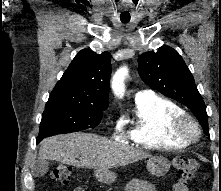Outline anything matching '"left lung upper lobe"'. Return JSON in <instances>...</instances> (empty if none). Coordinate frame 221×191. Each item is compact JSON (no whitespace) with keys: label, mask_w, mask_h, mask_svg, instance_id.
I'll use <instances>...</instances> for the list:
<instances>
[{"label":"left lung upper lobe","mask_w":221,"mask_h":191,"mask_svg":"<svg viewBox=\"0 0 221 191\" xmlns=\"http://www.w3.org/2000/svg\"><path fill=\"white\" fill-rule=\"evenodd\" d=\"M138 64L142 80L152 89L187 106L209 135L205 103L182 57L173 48L162 46L157 52L140 55Z\"/></svg>","instance_id":"5c2ea615"}]
</instances>
